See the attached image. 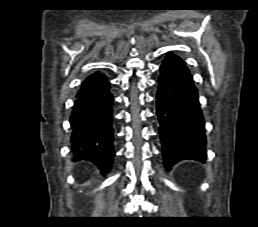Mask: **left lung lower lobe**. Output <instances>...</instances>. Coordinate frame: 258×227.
Instances as JSON below:
<instances>
[{
    "mask_svg": "<svg viewBox=\"0 0 258 227\" xmlns=\"http://www.w3.org/2000/svg\"><path fill=\"white\" fill-rule=\"evenodd\" d=\"M156 114L164 166L169 170L180 160L206 159L205 122L198 93L185 63L168 54L160 66Z\"/></svg>",
    "mask_w": 258,
    "mask_h": 227,
    "instance_id": "left-lung-lower-lobe-1",
    "label": "left lung lower lobe"
}]
</instances>
